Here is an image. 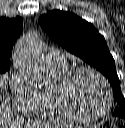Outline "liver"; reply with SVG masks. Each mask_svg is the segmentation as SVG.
Returning a JSON list of instances; mask_svg holds the SVG:
<instances>
[{
	"instance_id": "1",
	"label": "liver",
	"mask_w": 125,
	"mask_h": 128,
	"mask_svg": "<svg viewBox=\"0 0 125 128\" xmlns=\"http://www.w3.org/2000/svg\"><path fill=\"white\" fill-rule=\"evenodd\" d=\"M10 97L4 83L0 81V128H12Z\"/></svg>"
}]
</instances>
